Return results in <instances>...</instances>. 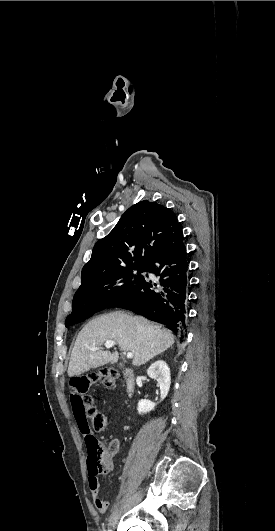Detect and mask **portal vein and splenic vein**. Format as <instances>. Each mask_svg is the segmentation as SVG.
I'll list each match as a JSON object with an SVG mask.
<instances>
[{
  "mask_svg": "<svg viewBox=\"0 0 275 531\" xmlns=\"http://www.w3.org/2000/svg\"><path fill=\"white\" fill-rule=\"evenodd\" d=\"M106 349H111V347H114L116 345L115 341H106L104 343ZM90 351H99V347H94V349H90ZM127 359H133L132 353H127Z\"/></svg>",
  "mask_w": 275,
  "mask_h": 531,
  "instance_id": "portal-vein-and-splenic-vein-1",
  "label": "portal vein and splenic vein"
}]
</instances>
